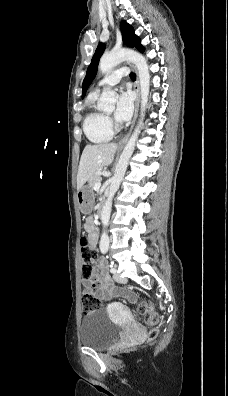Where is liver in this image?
I'll return each mask as SVG.
<instances>
[{
    "mask_svg": "<svg viewBox=\"0 0 228 396\" xmlns=\"http://www.w3.org/2000/svg\"><path fill=\"white\" fill-rule=\"evenodd\" d=\"M118 146L116 143H102L85 146L77 173V190L104 166H109Z\"/></svg>",
    "mask_w": 228,
    "mask_h": 396,
    "instance_id": "obj_1",
    "label": "liver"
}]
</instances>
